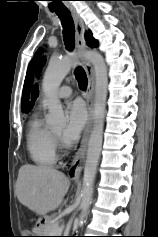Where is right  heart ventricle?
<instances>
[{"instance_id":"right-heart-ventricle-1","label":"right heart ventricle","mask_w":158,"mask_h":237,"mask_svg":"<svg viewBox=\"0 0 158 237\" xmlns=\"http://www.w3.org/2000/svg\"><path fill=\"white\" fill-rule=\"evenodd\" d=\"M27 150L38 165L51 166L57 160L53 132L44 126L38 114L32 117L28 125Z\"/></svg>"}]
</instances>
